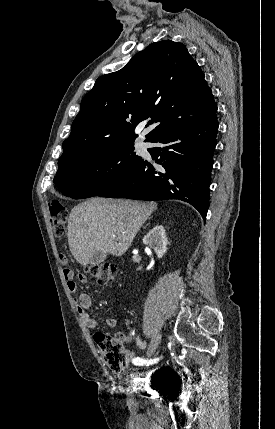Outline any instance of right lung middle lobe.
I'll return each mask as SVG.
<instances>
[{"instance_id": "obj_1", "label": "right lung middle lobe", "mask_w": 275, "mask_h": 429, "mask_svg": "<svg viewBox=\"0 0 275 429\" xmlns=\"http://www.w3.org/2000/svg\"><path fill=\"white\" fill-rule=\"evenodd\" d=\"M133 144L134 141H122L85 153L59 166L54 183L74 199L97 196L141 161Z\"/></svg>"}]
</instances>
